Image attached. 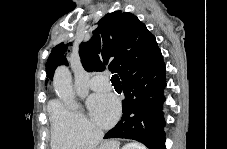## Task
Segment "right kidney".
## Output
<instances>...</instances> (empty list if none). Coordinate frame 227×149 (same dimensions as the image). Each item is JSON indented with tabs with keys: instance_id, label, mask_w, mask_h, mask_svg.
I'll return each instance as SVG.
<instances>
[{
	"instance_id": "ca27d5eb",
	"label": "right kidney",
	"mask_w": 227,
	"mask_h": 149,
	"mask_svg": "<svg viewBox=\"0 0 227 149\" xmlns=\"http://www.w3.org/2000/svg\"><path fill=\"white\" fill-rule=\"evenodd\" d=\"M124 149H140V146L138 144H128Z\"/></svg>"
}]
</instances>
